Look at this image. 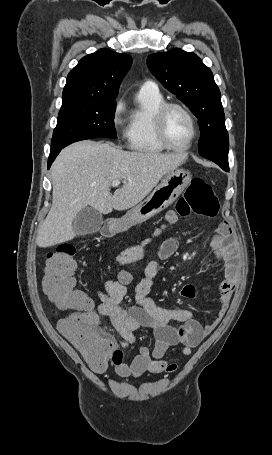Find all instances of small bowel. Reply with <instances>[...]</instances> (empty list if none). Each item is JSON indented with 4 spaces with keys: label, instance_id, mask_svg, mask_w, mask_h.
<instances>
[{
    "label": "small bowel",
    "instance_id": "c3829d8e",
    "mask_svg": "<svg viewBox=\"0 0 272 455\" xmlns=\"http://www.w3.org/2000/svg\"><path fill=\"white\" fill-rule=\"evenodd\" d=\"M210 245L215 257L223 262L224 279L218 286L220 297L217 313L208 324L199 323L187 309L162 308L150 297L153 282L158 272L157 260H151L146 266L144 277L135 288L136 304L130 308H125L122 305L129 282L122 281L118 276L105 282L103 289L98 293L100 303L96 311L99 315L110 319L124 345L134 343L136 340L135 332L140 329L151 331L156 339L153 349L142 346L130 363L122 362L116 365V371L121 377H140L147 372L157 374L176 371V360L164 359L168 348L179 346L180 354L188 356L192 349L219 324L228 309L239 275L236 244L229 224L222 223L219 226ZM178 247L177 238L165 239L159 247L158 258L165 260L171 257ZM145 253L146 246L143 243L126 249L116 257L115 266L131 264L137 257H142ZM180 294L191 299L196 296V289L193 285L187 284L182 287ZM173 322L180 323V325L174 326Z\"/></svg>",
    "mask_w": 272,
    "mask_h": 455
}]
</instances>
